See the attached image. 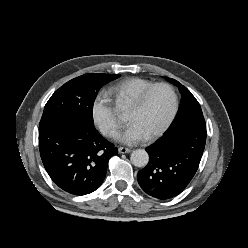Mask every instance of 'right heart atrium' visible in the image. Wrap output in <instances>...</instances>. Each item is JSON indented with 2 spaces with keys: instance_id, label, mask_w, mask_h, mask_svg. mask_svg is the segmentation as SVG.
I'll use <instances>...</instances> for the list:
<instances>
[{
  "instance_id": "d8ad5b80",
  "label": "right heart atrium",
  "mask_w": 248,
  "mask_h": 248,
  "mask_svg": "<svg viewBox=\"0 0 248 248\" xmlns=\"http://www.w3.org/2000/svg\"><path fill=\"white\" fill-rule=\"evenodd\" d=\"M91 117L99 131L108 137L114 136L118 130L111 97L106 92H99L91 105Z\"/></svg>"
}]
</instances>
